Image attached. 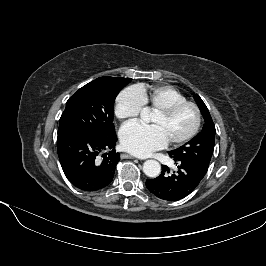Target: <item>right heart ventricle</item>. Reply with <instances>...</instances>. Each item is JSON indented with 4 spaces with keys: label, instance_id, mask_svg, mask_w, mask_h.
Listing matches in <instances>:
<instances>
[{
    "label": "right heart ventricle",
    "instance_id": "1",
    "mask_svg": "<svg viewBox=\"0 0 266 266\" xmlns=\"http://www.w3.org/2000/svg\"><path fill=\"white\" fill-rule=\"evenodd\" d=\"M139 90L144 98L145 105L154 111L187 101L186 97L179 90L168 85L150 88L140 87Z\"/></svg>",
    "mask_w": 266,
    "mask_h": 266
}]
</instances>
